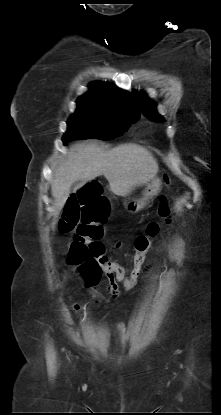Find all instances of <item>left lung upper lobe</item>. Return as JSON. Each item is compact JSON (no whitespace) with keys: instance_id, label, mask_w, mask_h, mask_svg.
I'll use <instances>...</instances> for the list:
<instances>
[{"instance_id":"left-lung-upper-lobe-1","label":"left lung upper lobe","mask_w":221,"mask_h":415,"mask_svg":"<svg viewBox=\"0 0 221 415\" xmlns=\"http://www.w3.org/2000/svg\"><path fill=\"white\" fill-rule=\"evenodd\" d=\"M134 98L137 100L138 106L140 107L143 114L149 118L151 121L155 122H164V118L159 115L156 111V104L153 101H150L146 94L133 93Z\"/></svg>"}]
</instances>
